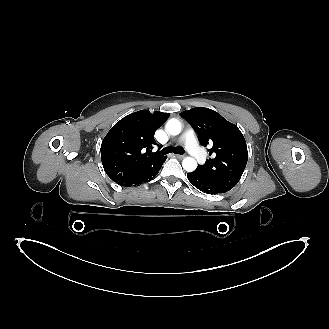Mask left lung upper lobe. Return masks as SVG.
Returning <instances> with one entry per match:
<instances>
[{
	"instance_id": "obj_1",
	"label": "left lung upper lobe",
	"mask_w": 329,
	"mask_h": 329,
	"mask_svg": "<svg viewBox=\"0 0 329 329\" xmlns=\"http://www.w3.org/2000/svg\"><path fill=\"white\" fill-rule=\"evenodd\" d=\"M181 116L193 127L201 145L213 158L196 171L208 179L232 189L240 180L248 160L245 139L238 127L219 113L204 107L181 112Z\"/></svg>"
}]
</instances>
